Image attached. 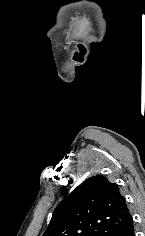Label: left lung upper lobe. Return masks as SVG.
Masks as SVG:
<instances>
[{
  "label": "left lung upper lobe",
  "instance_id": "left-lung-upper-lobe-1",
  "mask_svg": "<svg viewBox=\"0 0 145 236\" xmlns=\"http://www.w3.org/2000/svg\"><path fill=\"white\" fill-rule=\"evenodd\" d=\"M130 219L118 186L96 175L59 203L43 236H115Z\"/></svg>",
  "mask_w": 145,
  "mask_h": 236
}]
</instances>
